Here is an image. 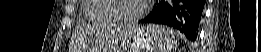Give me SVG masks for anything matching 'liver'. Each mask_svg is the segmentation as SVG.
I'll return each instance as SVG.
<instances>
[{
    "instance_id": "obj_1",
    "label": "liver",
    "mask_w": 261,
    "mask_h": 52,
    "mask_svg": "<svg viewBox=\"0 0 261 52\" xmlns=\"http://www.w3.org/2000/svg\"><path fill=\"white\" fill-rule=\"evenodd\" d=\"M128 29L132 28L131 26H127ZM128 30L123 31L120 28L118 29H109L107 32H105V35L103 37V42H102V49L103 50H108L113 47L118 46V43L120 41V38L123 37ZM104 47V48H103Z\"/></svg>"
}]
</instances>
